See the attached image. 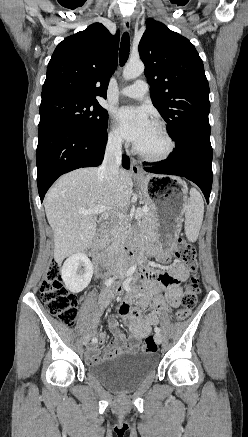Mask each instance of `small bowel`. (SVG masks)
<instances>
[{
    "mask_svg": "<svg viewBox=\"0 0 248 437\" xmlns=\"http://www.w3.org/2000/svg\"><path fill=\"white\" fill-rule=\"evenodd\" d=\"M164 260L167 259L164 258ZM169 269V272L146 270L136 281V284L140 285L138 304L141 309L151 305L152 311L149 314L142 316L139 310L131 309V296H124L122 299L120 312L128 321L131 338L135 341H141L149 335L151 327L158 324L161 314L167 312L169 308H176L180 305L183 294L181 283L186 280L189 271L181 264H173ZM120 292L121 288L118 285H113L105 290L100 295V308H108ZM109 328L115 337L114 342L105 344L106 335L100 334L97 342L104 345L103 351L98 349L97 342L90 345L86 351L90 363L106 361L124 351L137 349L135 343L127 341L115 318H110Z\"/></svg>",
    "mask_w": 248,
    "mask_h": 437,
    "instance_id": "obj_1",
    "label": "small bowel"
}]
</instances>
